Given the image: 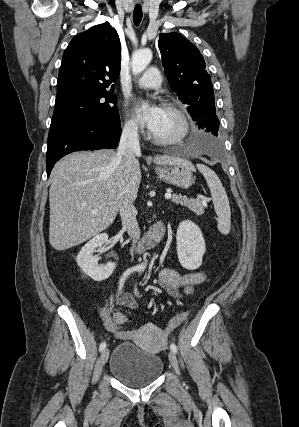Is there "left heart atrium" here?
I'll return each mask as SVG.
<instances>
[{
  "mask_svg": "<svg viewBox=\"0 0 299 427\" xmlns=\"http://www.w3.org/2000/svg\"><path fill=\"white\" fill-rule=\"evenodd\" d=\"M162 108L156 104H144L141 101H138L133 106V111L137 120L143 126L147 127L153 131L161 117Z\"/></svg>",
  "mask_w": 299,
  "mask_h": 427,
  "instance_id": "1",
  "label": "left heart atrium"
}]
</instances>
